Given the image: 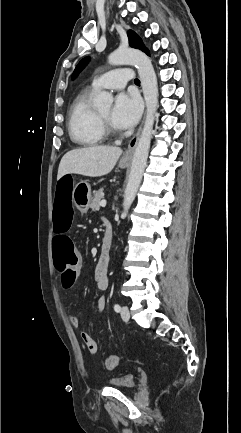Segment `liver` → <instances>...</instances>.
<instances>
[{"instance_id": "1", "label": "liver", "mask_w": 241, "mask_h": 433, "mask_svg": "<svg viewBox=\"0 0 241 433\" xmlns=\"http://www.w3.org/2000/svg\"><path fill=\"white\" fill-rule=\"evenodd\" d=\"M121 154V148L110 146L71 150L60 161L57 179L68 173L88 177L107 175L112 171Z\"/></svg>"}]
</instances>
